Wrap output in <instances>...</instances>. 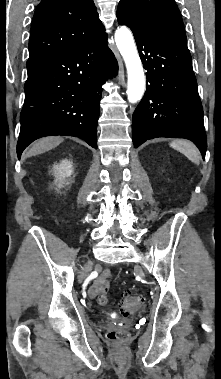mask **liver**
<instances>
[{
    "instance_id": "obj_1",
    "label": "liver",
    "mask_w": 221,
    "mask_h": 379,
    "mask_svg": "<svg viewBox=\"0 0 221 379\" xmlns=\"http://www.w3.org/2000/svg\"><path fill=\"white\" fill-rule=\"evenodd\" d=\"M63 140L64 139L59 136L41 138L35 141L32 146L26 151L25 157L34 156L49 151L57 147L61 142H63Z\"/></svg>"
}]
</instances>
